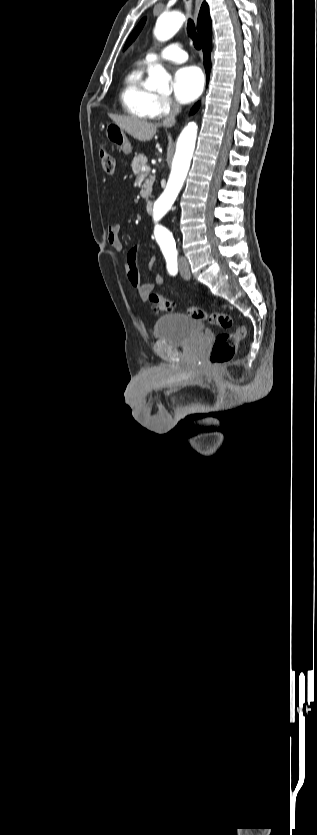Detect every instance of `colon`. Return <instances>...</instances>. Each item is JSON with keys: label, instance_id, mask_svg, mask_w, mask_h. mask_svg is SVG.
Segmentation results:
<instances>
[{"label": "colon", "instance_id": "colon-1", "mask_svg": "<svg viewBox=\"0 0 317 835\" xmlns=\"http://www.w3.org/2000/svg\"><path fill=\"white\" fill-rule=\"evenodd\" d=\"M101 165L105 173L113 175L115 172V158L107 150L100 151ZM149 300L154 304L156 311L166 312L170 311L173 303L155 292L148 293ZM190 317L206 321L210 324L220 326L222 328H230L235 324V320L228 314L218 312H207L196 306H190L187 310ZM247 335V329L244 325H238L235 333H219L216 335L209 355V364L212 367H218L231 359L236 351L237 344L243 340Z\"/></svg>", "mask_w": 317, "mask_h": 835}]
</instances>
